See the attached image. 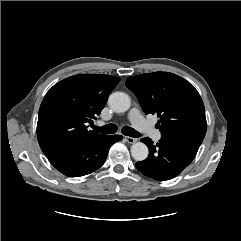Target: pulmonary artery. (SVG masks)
<instances>
[{"label":"pulmonary artery","mask_w":241,"mask_h":241,"mask_svg":"<svg viewBox=\"0 0 241 241\" xmlns=\"http://www.w3.org/2000/svg\"><path fill=\"white\" fill-rule=\"evenodd\" d=\"M128 119L138 131L150 136L154 141L161 139V133L142 117L137 108L130 110Z\"/></svg>","instance_id":"obj_1"}]
</instances>
